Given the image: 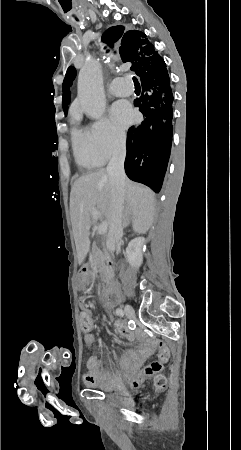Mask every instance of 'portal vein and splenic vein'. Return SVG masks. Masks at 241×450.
Masks as SVG:
<instances>
[{
    "instance_id": "portal-vein-and-splenic-vein-1",
    "label": "portal vein and splenic vein",
    "mask_w": 241,
    "mask_h": 450,
    "mask_svg": "<svg viewBox=\"0 0 241 450\" xmlns=\"http://www.w3.org/2000/svg\"><path fill=\"white\" fill-rule=\"evenodd\" d=\"M107 226V222H102V224H99V226H97L98 234H105V232H107Z\"/></svg>"
}]
</instances>
